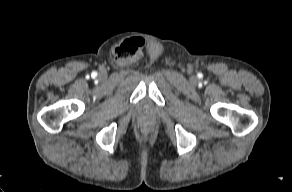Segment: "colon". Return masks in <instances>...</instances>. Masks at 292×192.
Listing matches in <instances>:
<instances>
[{
  "mask_svg": "<svg viewBox=\"0 0 292 192\" xmlns=\"http://www.w3.org/2000/svg\"><path fill=\"white\" fill-rule=\"evenodd\" d=\"M142 44L141 39H133L124 42L116 49V55L118 57L134 55L140 50Z\"/></svg>",
  "mask_w": 292,
  "mask_h": 192,
  "instance_id": "obj_1",
  "label": "colon"
}]
</instances>
